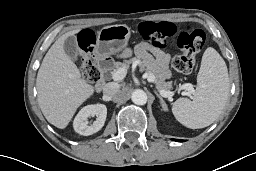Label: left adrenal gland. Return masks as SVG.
Listing matches in <instances>:
<instances>
[{
	"mask_svg": "<svg viewBox=\"0 0 256 171\" xmlns=\"http://www.w3.org/2000/svg\"><path fill=\"white\" fill-rule=\"evenodd\" d=\"M155 94L157 95V97L159 98L160 102H161V105H162V108L163 110H166L167 109V105L165 103V101L163 100V98L158 94L157 91H155Z\"/></svg>",
	"mask_w": 256,
	"mask_h": 171,
	"instance_id": "1",
	"label": "left adrenal gland"
}]
</instances>
